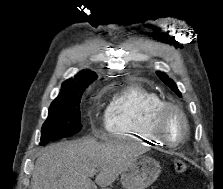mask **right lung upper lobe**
I'll list each match as a JSON object with an SVG mask.
<instances>
[{
  "instance_id": "cb5924a9",
  "label": "right lung upper lobe",
  "mask_w": 223,
  "mask_h": 189,
  "mask_svg": "<svg viewBox=\"0 0 223 189\" xmlns=\"http://www.w3.org/2000/svg\"><path fill=\"white\" fill-rule=\"evenodd\" d=\"M97 78V75L89 70L79 72L74 78L63 82L61 92L58 97L73 95L85 91L90 83Z\"/></svg>"
}]
</instances>
